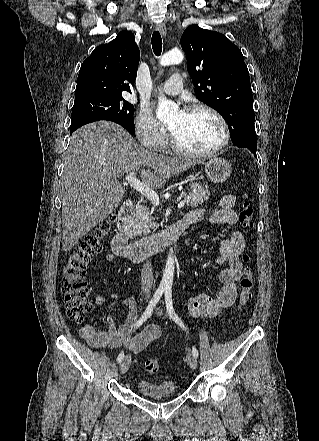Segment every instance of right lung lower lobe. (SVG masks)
Masks as SVG:
<instances>
[{
	"label": "right lung lower lobe",
	"instance_id": "right-lung-lower-lobe-1",
	"mask_svg": "<svg viewBox=\"0 0 319 441\" xmlns=\"http://www.w3.org/2000/svg\"><path fill=\"white\" fill-rule=\"evenodd\" d=\"M79 127H81V126L70 128V135H71L76 129H78Z\"/></svg>",
	"mask_w": 319,
	"mask_h": 441
}]
</instances>
